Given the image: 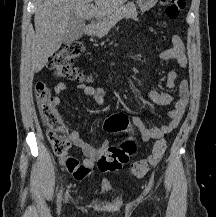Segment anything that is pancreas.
<instances>
[{"label":"pancreas","instance_id":"pancreas-1","mask_svg":"<svg viewBox=\"0 0 216 217\" xmlns=\"http://www.w3.org/2000/svg\"><path fill=\"white\" fill-rule=\"evenodd\" d=\"M122 18H131L137 20V11L134 3L129 2L120 6L116 11L108 14L106 17L99 19L94 26L95 35L97 37L105 36L109 30Z\"/></svg>","mask_w":216,"mask_h":217}]
</instances>
